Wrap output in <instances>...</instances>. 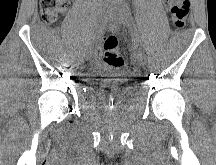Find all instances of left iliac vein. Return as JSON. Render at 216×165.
<instances>
[{
	"label": "left iliac vein",
	"instance_id": "obj_1",
	"mask_svg": "<svg viewBox=\"0 0 216 165\" xmlns=\"http://www.w3.org/2000/svg\"><path fill=\"white\" fill-rule=\"evenodd\" d=\"M113 8L115 9V13H112V15H110V19L112 21L118 23V24L123 25V26H129L128 22L126 21L125 15L123 14L121 9L119 8V4L114 3ZM133 36H134V34H133ZM134 39H135V36H134ZM136 59H137V62L139 63V65H141V66L146 65V55L143 52V50L140 48L137 50Z\"/></svg>",
	"mask_w": 216,
	"mask_h": 165
}]
</instances>
